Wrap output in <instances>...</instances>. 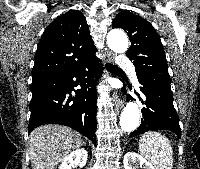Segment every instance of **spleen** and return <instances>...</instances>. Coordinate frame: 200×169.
Listing matches in <instances>:
<instances>
[{"instance_id":"1","label":"spleen","mask_w":200,"mask_h":169,"mask_svg":"<svg viewBox=\"0 0 200 169\" xmlns=\"http://www.w3.org/2000/svg\"><path fill=\"white\" fill-rule=\"evenodd\" d=\"M139 151L156 169H172L173 149L168 138L160 132L143 134L139 140Z\"/></svg>"}]
</instances>
